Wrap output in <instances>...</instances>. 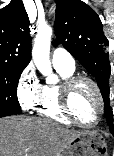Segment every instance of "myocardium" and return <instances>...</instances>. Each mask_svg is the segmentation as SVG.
<instances>
[{
    "instance_id": "f54148a6",
    "label": "myocardium",
    "mask_w": 114,
    "mask_h": 156,
    "mask_svg": "<svg viewBox=\"0 0 114 156\" xmlns=\"http://www.w3.org/2000/svg\"><path fill=\"white\" fill-rule=\"evenodd\" d=\"M82 82L89 83L97 96L98 100V113L95 120L89 124L83 123L74 113L71 107V95L76 88V86ZM60 105L63 113L75 124L84 127L91 128L99 123L101 120L103 111H104V99L101 92V89L98 83L91 77L85 75H73L65 79L60 86Z\"/></svg>"
}]
</instances>
